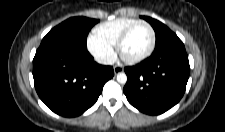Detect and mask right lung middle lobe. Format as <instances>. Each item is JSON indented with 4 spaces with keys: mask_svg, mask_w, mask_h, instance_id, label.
<instances>
[{
    "mask_svg": "<svg viewBox=\"0 0 225 132\" xmlns=\"http://www.w3.org/2000/svg\"><path fill=\"white\" fill-rule=\"evenodd\" d=\"M97 19L72 17L57 25L43 38L41 44H61L86 49L87 35Z\"/></svg>",
    "mask_w": 225,
    "mask_h": 132,
    "instance_id": "dd1d6c3e",
    "label": "right lung middle lobe"
}]
</instances>
